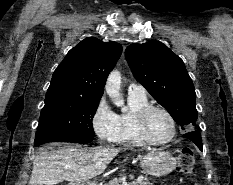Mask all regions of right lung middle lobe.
<instances>
[{
	"label": "right lung middle lobe",
	"mask_w": 233,
	"mask_h": 185,
	"mask_svg": "<svg viewBox=\"0 0 233 185\" xmlns=\"http://www.w3.org/2000/svg\"><path fill=\"white\" fill-rule=\"evenodd\" d=\"M100 99L46 94L34 145L51 141L85 144L94 139L92 118Z\"/></svg>",
	"instance_id": "dd1d6c3e"
}]
</instances>
